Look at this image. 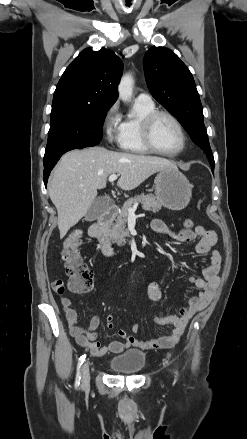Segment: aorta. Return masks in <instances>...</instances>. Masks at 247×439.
<instances>
[{
	"label": "aorta",
	"instance_id": "aorta-1",
	"mask_svg": "<svg viewBox=\"0 0 247 439\" xmlns=\"http://www.w3.org/2000/svg\"><path fill=\"white\" fill-rule=\"evenodd\" d=\"M134 87V79L132 75L126 74L124 75L118 86L119 98L123 101H129L132 97Z\"/></svg>",
	"mask_w": 247,
	"mask_h": 439
}]
</instances>
